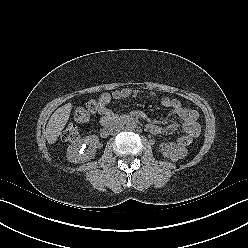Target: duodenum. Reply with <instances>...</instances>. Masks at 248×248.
<instances>
[{
	"label": "duodenum",
	"instance_id": "obj_1",
	"mask_svg": "<svg viewBox=\"0 0 248 248\" xmlns=\"http://www.w3.org/2000/svg\"><path fill=\"white\" fill-rule=\"evenodd\" d=\"M131 122H139L136 118L129 116V115H124V116H116L114 117L110 122L105 124L101 130V135L103 137H107L113 129L120 125H125L127 123Z\"/></svg>",
	"mask_w": 248,
	"mask_h": 248
}]
</instances>
